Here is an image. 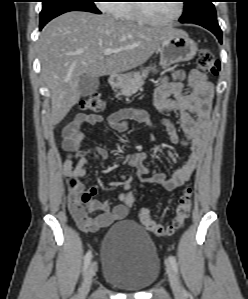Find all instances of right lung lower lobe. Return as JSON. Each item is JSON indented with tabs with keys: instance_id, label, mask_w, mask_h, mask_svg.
<instances>
[{
	"instance_id": "obj_1",
	"label": "right lung lower lobe",
	"mask_w": 248,
	"mask_h": 299,
	"mask_svg": "<svg viewBox=\"0 0 248 299\" xmlns=\"http://www.w3.org/2000/svg\"><path fill=\"white\" fill-rule=\"evenodd\" d=\"M46 23H42L40 24V30L43 28V26L45 25Z\"/></svg>"
}]
</instances>
